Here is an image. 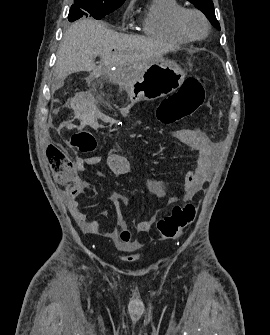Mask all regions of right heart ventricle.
Returning <instances> with one entry per match:
<instances>
[{
	"mask_svg": "<svg viewBox=\"0 0 270 335\" xmlns=\"http://www.w3.org/2000/svg\"><path fill=\"white\" fill-rule=\"evenodd\" d=\"M184 9L177 0H153L140 19L142 31L155 39L174 44H185L190 40L176 27L175 18Z\"/></svg>",
	"mask_w": 270,
	"mask_h": 335,
	"instance_id": "right-heart-ventricle-1",
	"label": "right heart ventricle"
}]
</instances>
